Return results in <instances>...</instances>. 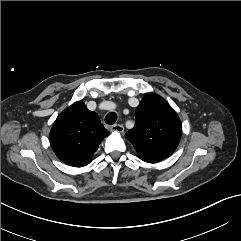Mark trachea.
<instances>
[{
  "label": "trachea",
  "mask_w": 241,
  "mask_h": 241,
  "mask_svg": "<svg viewBox=\"0 0 241 241\" xmlns=\"http://www.w3.org/2000/svg\"><path fill=\"white\" fill-rule=\"evenodd\" d=\"M117 120V114L115 112H110L105 117V122L109 125H113Z\"/></svg>",
  "instance_id": "1"
}]
</instances>
